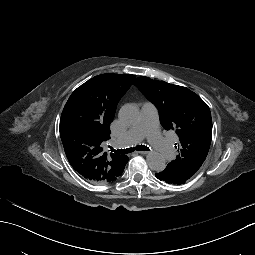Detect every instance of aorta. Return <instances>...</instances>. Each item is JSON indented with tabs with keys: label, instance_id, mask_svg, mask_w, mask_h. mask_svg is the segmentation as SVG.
<instances>
[{
	"label": "aorta",
	"instance_id": "1",
	"mask_svg": "<svg viewBox=\"0 0 255 255\" xmlns=\"http://www.w3.org/2000/svg\"><path fill=\"white\" fill-rule=\"evenodd\" d=\"M119 118L126 125L135 124L139 119V110L133 104H126L120 109ZM146 159L149 168L154 171L160 172L163 171L166 167L165 158L159 152H149Z\"/></svg>",
	"mask_w": 255,
	"mask_h": 255
}]
</instances>
